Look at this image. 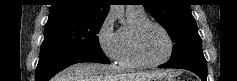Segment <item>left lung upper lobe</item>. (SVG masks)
I'll return each instance as SVG.
<instances>
[{"instance_id": "obj_1", "label": "left lung upper lobe", "mask_w": 237, "mask_h": 81, "mask_svg": "<svg viewBox=\"0 0 237 81\" xmlns=\"http://www.w3.org/2000/svg\"><path fill=\"white\" fill-rule=\"evenodd\" d=\"M143 6L163 26L174 43L166 66L206 63L188 0H144Z\"/></svg>"}]
</instances>
